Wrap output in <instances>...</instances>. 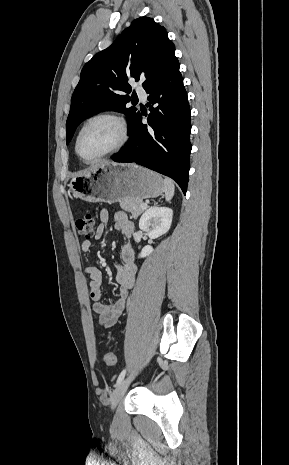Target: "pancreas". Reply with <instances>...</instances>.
<instances>
[{"mask_svg": "<svg viewBox=\"0 0 289 465\" xmlns=\"http://www.w3.org/2000/svg\"><path fill=\"white\" fill-rule=\"evenodd\" d=\"M143 201L138 199H123L120 201V207L132 214L134 218H137L143 211Z\"/></svg>", "mask_w": 289, "mask_h": 465, "instance_id": "cf45deb5", "label": "pancreas"}]
</instances>
